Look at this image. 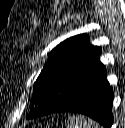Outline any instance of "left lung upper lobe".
<instances>
[{
	"mask_svg": "<svg viewBox=\"0 0 125 128\" xmlns=\"http://www.w3.org/2000/svg\"><path fill=\"white\" fill-rule=\"evenodd\" d=\"M101 49L89 43L86 34L61 42L50 57L34 84L32 101L40 105L27 118L54 113L69 101L86 72L99 61Z\"/></svg>",
	"mask_w": 125,
	"mask_h": 128,
	"instance_id": "5c2ea615",
	"label": "left lung upper lobe"
}]
</instances>
